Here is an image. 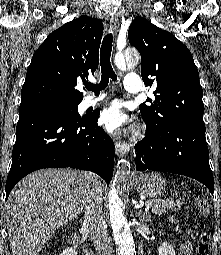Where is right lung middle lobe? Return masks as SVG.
Here are the masks:
<instances>
[{
	"mask_svg": "<svg viewBox=\"0 0 221 255\" xmlns=\"http://www.w3.org/2000/svg\"><path fill=\"white\" fill-rule=\"evenodd\" d=\"M79 103L80 102H76V103H46V104L32 106L27 109L56 110V111H60V112L64 113L71 119L79 120V119H81V116L77 112Z\"/></svg>",
	"mask_w": 221,
	"mask_h": 255,
	"instance_id": "obj_1",
	"label": "right lung middle lobe"
}]
</instances>
